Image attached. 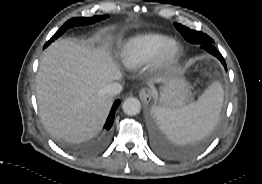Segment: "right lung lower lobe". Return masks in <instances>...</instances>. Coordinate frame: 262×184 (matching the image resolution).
I'll return each mask as SVG.
<instances>
[{"mask_svg":"<svg viewBox=\"0 0 262 184\" xmlns=\"http://www.w3.org/2000/svg\"><path fill=\"white\" fill-rule=\"evenodd\" d=\"M119 104H120L119 100L114 102V104L112 106V109L110 111V114H109V116L107 118V121H106V123L104 125L105 132H107L111 128V126L113 124V121H114L115 111H116L117 107L119 106Z\"/></svg>","mask_w":262,"mask_h":184,"instance_id":"98d812e1","label":"right lung lower lobe"}]
</instances>
